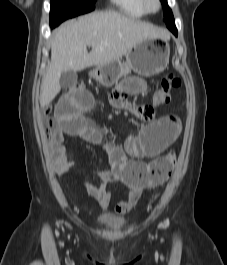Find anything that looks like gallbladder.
<instances>
[{
    "mask_svg": "<svg viewBox=\"0 0 227 265\" xmlns=\"http://www.w3.org/2000/svg\"><path fill=\"white\" fill-rule=\"evenodd\" d=\"M77 78H78L77 73L74 71L70 70V71L63 72L60 77V86L63 89L70 88L76 83Z\"/></svg>",
    "mask_w": 227,
    "mask_h": 265,
    "instance_id": "1",
    "label": "gallbladder"
}]
</instances>
